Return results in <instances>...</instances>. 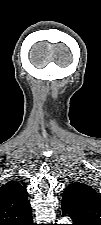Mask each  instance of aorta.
<instances>
[{
    "label": "aorta",
    "mask_w": 101,
    "mask_h": 225,
    "mask_svg": "<svg viewBox=\"0 0 101 225\" xmlns=\"http://www.w3.org/2000/svg\"><path fill=\"white\" fill-rule=\"evenodd\" d=\"M59 224H69L70 220L66 217L62 218L61 220H59L58 222Z\"/></svg>",
    "instance_id": "762f6f07"
}]
</instances>
